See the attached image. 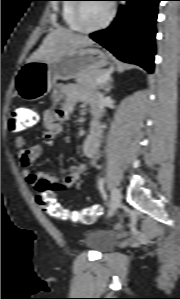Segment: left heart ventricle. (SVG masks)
I'll list each match as a JSON object with an SVG mask.
<instances>
[{
	"label": "left heart ventricle",
	"mask_w": 180,
	"mask_h": 299,
	"mask_svg": "<svg viewBox=\"0 0 180 299\" xmlns=\"http://www.w3.org/2000/svg\"><path fill=\"white\" fill-rule=\"evenodd\" d=\"M108 3H84L80 17L84 27H94L101 24L108 15Z\"/></svg>",
	"instance_id": "obj_1"
}]
</instances>
